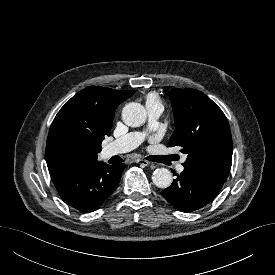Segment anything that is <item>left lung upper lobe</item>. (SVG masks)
<instances>
[{"mask_svg":"<svg viewBox=\"0 0 275 275\" xmlns=\"http://www.w3.org/2000/svg\"><path fill=\"white\" fill-rule=\"evenodd\" d=\"M172 102L177 130L169 140L187 154L183 166L229 175L232 165V137L222 110L204 93L174 88Z\"/></svg>","mask_w":275,"mask_h":275,"instance_id":"5c2ea615","label":"left lung upper lobe"}]
</instances>
